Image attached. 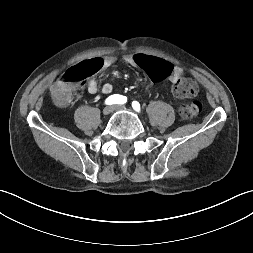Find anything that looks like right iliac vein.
<instances>
[{"label": "right iliac vein", "mask_w": 253, "mask_h": 253, "mask_svg": "<svg viewBox=\"0 0 253 253\" xmlns=\"http://www.w3.org/2000/svg\"><path fill=\"white\" fill-rule=\"evenodd\" d=\"M114 107L113 106H106L104 109H103V115L107 116L109 114L112 113Z\"/></svg>", "instance_id": "right-iliac-vein-1"}]
</instances>
